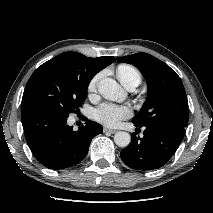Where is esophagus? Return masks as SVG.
<instances>
[{
	"mask_svg": "<svg viewBox=\"0 0 213 213\" xmlns=\"http://www.w3.org/2000/svg\"><path fill=\"white\" fill-rule=\"evenodd\" d=\"M103 131L105 133L109 132V133H112V134L117 132L115 129H110V128H104Z\"/></svg>",
	"mask_w": 213,
	"mask_h": 213,
	"instance_id": "34e87169",
	"label": "esophagus"
}]
</instances>
